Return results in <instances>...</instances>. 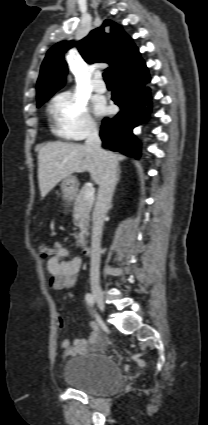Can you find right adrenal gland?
Wrapping results in <instances>:
<instances>
[{
	"mask_svg": "<svg viewBox=\"0 0 208 425\" xmlns=\"http://www.w3.org/2000/svg\"><path fill=\"white\" fill-rule=\"evenodd\" d=\"M120 173H121L120 168H118L117 177H116V184L120 181Z\"/></svg>",
	"mask_w": 208,
	"mask_h": 425,
	"instance_id": "obj_1",
	"label": "right adrenal gland"
}]
</instances>
